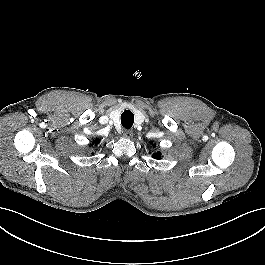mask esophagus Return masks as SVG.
<instances>
[{"mask_svg": "<svg viewBox=\"0 0 265 265\" xmlns=\"http://www.w3.org/2000/svg\"><path fill=\"white\" fill-rule=\"evenodd\" d=\"M123 136L127 139H131L133 137V131L132 130H125L123 133Z\"/></svg>", "mask_w": 265, "mask_h": 265, "instance_id": "34e87169", "label": "esophagus"}]
</instances>
